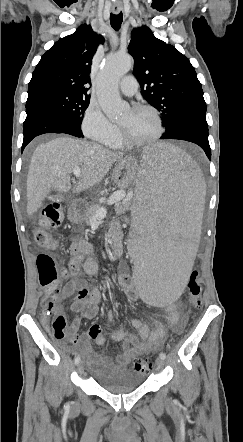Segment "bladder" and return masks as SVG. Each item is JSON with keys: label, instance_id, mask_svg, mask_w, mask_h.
I'll use <instances>...</instances> for the list:
<instances>
[{"label": "bladder", "instance_id": "bladder-1", "mask_svg": "<svg viewBox=\"0 0 243 442\" xmlns=\"http://www.w3.org/2000/svg\"><path fill=\"white\" fill-rule=\"evenodd\" d=\"M94 381L102 389L117 395L129 393L142 384L133 372L114 368L95 370Z\"/></svg>", "mask_w": 243, "mask_h": 442}]
</instances>
